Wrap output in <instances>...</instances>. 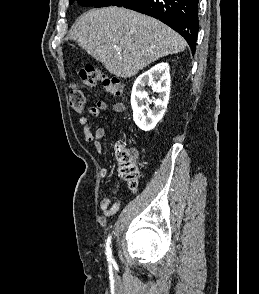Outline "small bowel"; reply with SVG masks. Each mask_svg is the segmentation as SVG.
Segmentation results:
<instances>
[{
	"label": "small bowel",
	"instance_id": "1",
	"mask_svg": "<svg viewBox=\"0 0 259 294\" xmlns=\"http://www.w3.org/2000/svg\"><path fill=\"white\" fill-rule=\"evenodd\" d=\"M108 109V104L103 101H97L96 104L89 108V115L93 117H97L101 112H104ZM113 109L117 112H120L124 109L122 104H116L113 106ZM79 124L83 127L84 138L88 142H92L95 150L101 154L102 153V139L104 137L105 131L103 128H97L95 130H91L88 125V119L86 117L79 118ZM134 158H137V153H133ZM109 175V171L107 168L103 167L100 169L101 178H106ZM120 184L117 185L119 189ZM100 208L103 211L104 215L111 216L117 212L119 209V202L113 203L111 198L104 197L100 202Z\"/></svg>",
	"mask_w": 259,
	"mask_h": 294
}]
</instances>
